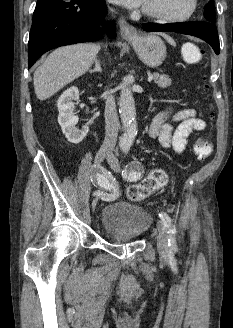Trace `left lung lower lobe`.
<instances>
[{"label": "left lung lower lobe", "instance_id": "obj_1", "mask_svg": "<svg viewBox=\"0 0 233 328\" xmlns=\"http://www.w3.org/2000/svg\"><path fill=\"white\" fill-rule=\"evenodd\" d=\"M143 30L148 32H177L186 35L195 36L206 41L214 49L216 54H219L220 45L219 37L214 24L209 22H183V23H145Z\"/></svg>", "mask_w": 233, "mask_h": 328}]
</instances>
